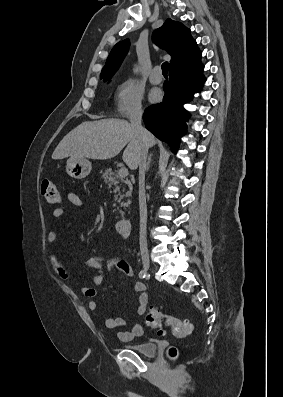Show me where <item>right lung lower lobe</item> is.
<instances>
[{"label": "right lung lower lobe", "instance_id": "right-lung-lower-lobe-1", "mask_svg": "<svg viewBox=\"0 0 283 397\" xmlns=\"http://www.w3.org/2000/svg\"><path fill=\"white\" fill-rule=\"evenodd\" d=\"M201 57L169 70V82L164 84L163 102L148 107L143 115L145 127L176 152L189 114L183 104L202 89L206 78Z\"/></svg>", "mask_w": 283, "mask_h": 397}]
</instances>
